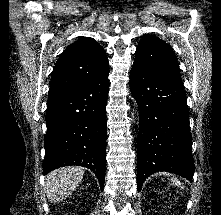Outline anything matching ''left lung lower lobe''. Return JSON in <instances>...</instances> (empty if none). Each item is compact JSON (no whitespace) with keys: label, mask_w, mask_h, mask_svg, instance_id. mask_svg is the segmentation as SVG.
Wrapping results in <instances>:
<instances>
[{"label":"left lung lower lobe","mask_w":221,"mask_h":215,"mask_svg":"<svg viewBox=\"0 0 221 215\" xmlns=\"http://www.w3.org/2000/svg\"><path fill=\"white\" fill-rule=\"evenodd\" d=\"M130 90L139 106L137 185L158 171L193 179L194 160L182 81L133 63Z\"/></svg>","instance_id":"0a47b994"}]
</instances>
